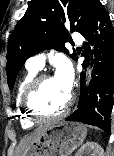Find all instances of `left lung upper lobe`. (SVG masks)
<instances>
[{"label":"left lung upper lobe","mask_w":114,"mask_h":156,"mask_svg":"<svg viewBox=\"0 0 114 156\" xmlns=\"http://www.w3.org/2000/svg\"><path fill=\"white\" fill-rule=\"evenodd\" d=\"M98 0H31L29 7L11 34L7 51V78L10 89L25 61L45 49L68 53L63 23L66 16L71 31L83 33L92 8ZM76 59V54L70 55Z\"/></svg>","instance_id":"1"}]
</instances>
